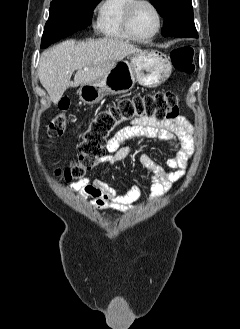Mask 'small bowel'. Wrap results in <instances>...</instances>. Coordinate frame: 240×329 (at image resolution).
<instances>
[{
    "label": "small bowel",
    "instance_id": "1",
    "mask_svg": "<svg viewBox=\"0 0 240 329\" xmlns=\"http://www.w3.org/2000/svg\"><path fill=\"white\" fill-rule=\"evenodd\" d=\"M193 135L194 128L184 116L171 120L147 117L137 119L118 130L107 142V153L100 158V163L114 165L129 157L136 158L151 181L150 195L154 200L170 191L173 184L184 177L193 152ZM133 138L170 143L173 155L166 160V167L157 163L147 153L124 146ZM66 189L78 193L82 199L90 198L93 208L118 211L134 208L140 196V189L137 186H133L124 194H119L98 178H85L70 183Z\"/></svg>",
    "mask_w": 240,
    "mask_h": 329
}]
</instances>
